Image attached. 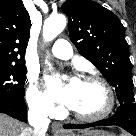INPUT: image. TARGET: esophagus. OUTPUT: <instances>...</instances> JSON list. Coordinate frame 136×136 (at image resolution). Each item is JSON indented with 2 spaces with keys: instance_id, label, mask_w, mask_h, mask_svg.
Listing matches in <instances>:
<instances>
[{
  "instance_id": "1",
  "label": "esophagus",
  "mask_w": 136,
  "mask_h": 136,
  "mask_svg": "<svg viewBox=\"0 0 136 136\" xmlns=\"http://www.w3.org/2000/svg\"><path fill=\"white\" fill-rule=\"evenodd\" d=\"M52 131H53L54 133H57V134L64 133V129H63V127H62V124L59 123V122H54V123L52 124Z\"/></svg>"
}]
</instances>
